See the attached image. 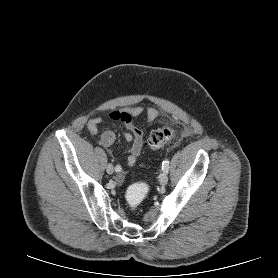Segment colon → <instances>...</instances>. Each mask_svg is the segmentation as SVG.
Wrapping results in <instances>:
<instances>
[{"label": "colon", "mask_w": 278, "mask_h": 278, "mask_svg": "<svg viewBox=\"0 0 278 278\" xmlns=\"http://www.w3.org/2000/svg\"><path fill=\"white\" fill-rule=\"evenodd\" d=\"M176 136V131L171 127H162L153 130L146 145L152 150L159 149L169 143ZM149 185L145 182H138L130 185L126 191V201L132 211H136L149 193Z\"/></svg>", "instance_id": "1"}]
</instances>
